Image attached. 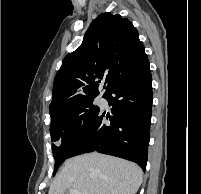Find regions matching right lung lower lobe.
I'll list each match as a JSON object with an SVG mask.
<instances>
[{
  "label": "right lung lower lobe",
  "instance_id": "1",
  "mask_svg": "<svg viewBox=\"0 0 201 194\" xmlns=\"http://www.w3.org/2000/svg\"><path fill=\"white\" fill-rule=\"evenodd\" d=\"M112 106L110 124L99 113L60 145L65 160L97 151L137 163L145 171L152 112V76L147 56L103 96ZM108 117V115L106 116Z\"/></svg>",
  "mask_w": 201,
  "mask_h": 194
}]
</instances>
